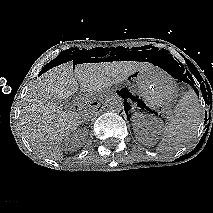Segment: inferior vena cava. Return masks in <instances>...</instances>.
Segmentation results:
<instances>
[{
	"mask_svg": "<svg viewBox=\"0 0 213 213\" xmlns=\"http://www.w3.org/2000/svg\"><path fill=\"white\" fill-rule=\"evenodd\" d=\"M96 115V110L91 105H86L82 110L84 120H89Z\"/></svg>",
	"mask_w": 213,
	"mask_h": 213,
	"instance_id": "602c4592",
	"label": "inferior vena cava"
}]
</instances>
